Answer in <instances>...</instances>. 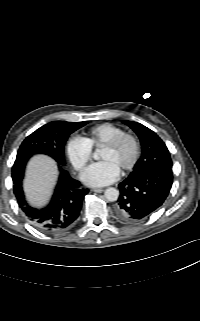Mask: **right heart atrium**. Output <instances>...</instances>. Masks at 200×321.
<instances>
[{
    "instance_id": "d8ad5b80",
    "label": "right heart atrium",
    "mask_w": 200,
    "mask_h": 321,
    "mask_svg": "<svg viewBox=\"0 0 200 321\" xmlns=\"http://www.w3.org/2000/svg\"><path fill=\"white\" fill-rule=\"evenodd\" d=\"M67 158L72 166L77 170H82L92 155V149L83 137H71L65 147Z\"/></svg>"
}]
</instances>
